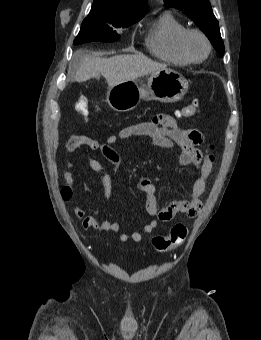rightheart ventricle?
Listing matches in <instances>:
<instances>
[{
  "label": "right heart ventricle",
  "mask_w": 261,
  "mask_h": 340,
  "mask_svg": "<svg viewBox=\"0 0 261 340\" xmlns=\"http://www.w3.org/2000/svg\"><path fill=\"white\" fill-rule=\"evenodd\" d=\"M187 27L172 12H163L150 27L145 45L148 51L167 63L186 66L191 62L181 53L178 40Z\"/></svg>",
  "instance_id": "right-heart-ventricle-1"
}]
</instances>
